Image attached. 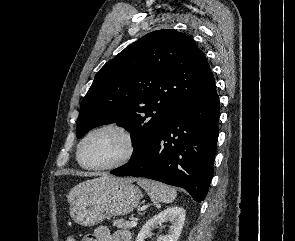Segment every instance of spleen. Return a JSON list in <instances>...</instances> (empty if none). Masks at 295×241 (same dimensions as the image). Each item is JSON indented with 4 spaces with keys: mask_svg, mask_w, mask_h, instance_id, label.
I'll return each mask as SVG.
<instances>
[{
    "mask_svg": "<svg viewBox=\"0 0 295 241\" xmlns=\"http://www.w3.org/2000/svg\"><path fill=\"white\" fill-rule=\"evenodd\" d=\"M137 184L148 193L154 203H170L177 196L174 188L160 182L138 179Z\"/></svg>",
    "mask_w": 295,
    "mask_h": 241,
    "instance_id": "obj_1",
    "label": "spleen"
}]
</instances>
